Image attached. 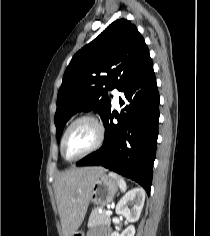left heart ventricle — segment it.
Here are the masks:
<instances>
[{
  "instance_id": "b2bd125f",
  "label": "left heart ventricle",
  "mask_w": 210,
  "mask_h": 236,
  "mask_svg": "<svg viewBox=\"0 0 210 236\" xmlns=\"http://www.w3.org/2000/svg\"><path fill=\"white\" fill-rule=\"evenodd\" d=\"M97 137L95 125L90 121H80L69 131L64 142V155L71 159L93 145Z\"/></svg>"
}]
</instances>
